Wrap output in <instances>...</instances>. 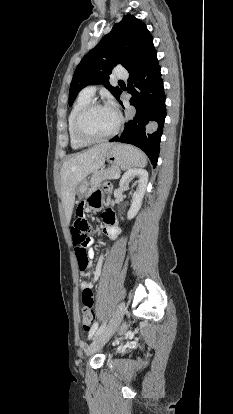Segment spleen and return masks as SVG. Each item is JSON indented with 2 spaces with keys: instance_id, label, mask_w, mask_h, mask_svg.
Returning <instances> with one entry per match:
<instances>
[{
  "instance_id": "1",
  "label": "spleen",
  "mask_w": 233,
  "mask_h": 414,
  "mask_svg": "<svg viewBox=\"0 0 233 414\" xmlns=\"http://www.w3.org/2000/svg\"><path fill=\"white\" fill-rule=\"evenodd\" d=\"M146 165H147V159L146 157H144L143 161L139 163L138 165H136L135 167H144Z\"/></svg>"
}]
</instances>
